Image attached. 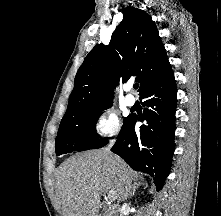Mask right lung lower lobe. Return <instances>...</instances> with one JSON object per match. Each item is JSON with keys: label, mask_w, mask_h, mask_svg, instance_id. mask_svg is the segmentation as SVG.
Masks as SVG:
<instances>
[{"label": "right lung lower lobe", "mask_w": 221, "mask_h": 216, "mask_svg": "<svg viewBox=\"0 0 221 216\" xmlns=\"http://www.w3.org/2000/svg\"><path fill=\"white\" fill-rule=\"evenodd\" d=\"M176 95V83L171 69L140 94V99L145 100L142 103V117H127L111 149L134 170L150 174L157 191L162 188L169 174L175 150ZM137 121H146L139 132L134 129Z\"/></svg>", "instance_id": "1"}]
</instances>
